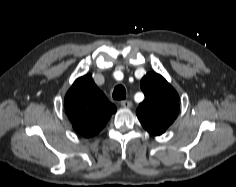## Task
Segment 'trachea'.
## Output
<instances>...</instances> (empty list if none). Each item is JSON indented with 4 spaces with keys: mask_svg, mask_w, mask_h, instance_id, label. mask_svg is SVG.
I'll return each mask as SVG.
<instances>
[{
    "mask_svg": "<svg viewBox=\"0 0 236 187\" xmlns=\"http://www.w3.org/2000/svg\"><path fill=\"white\" fill-rule=\"evenodd\" d=\"M113 98L115 100H124L126 98V90L123 85L119 84L114 88Z\"/></svg>",
    "mask_w": 236,
    "mask_h": 187,
    "instance_id": "obj_1",
    "label": "trachea"
}]
</instances>
